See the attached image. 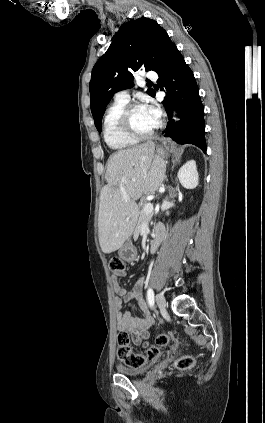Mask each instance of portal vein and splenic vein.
I'll list each match as a JSON object with an SVG mask.
<instances>
[{
  "mask_svg": "<svg viewBox=\"0 0 265 423\" xmlns=\"http://www.w3.org/2000/svg\"><path fill=\"white\" fill-rule=\"evenodd\" d=\"M154 208H153V204L151 202H147L144 206V211L147 214H151L153 212Z\"/></svg>",
  "mask_w": 265,
  "mask_h": 423,
  "instance_id": "portal-vein-and-splenic-vein-1",
  "label": "portal vein and splenic vein"
}]
</instances>
